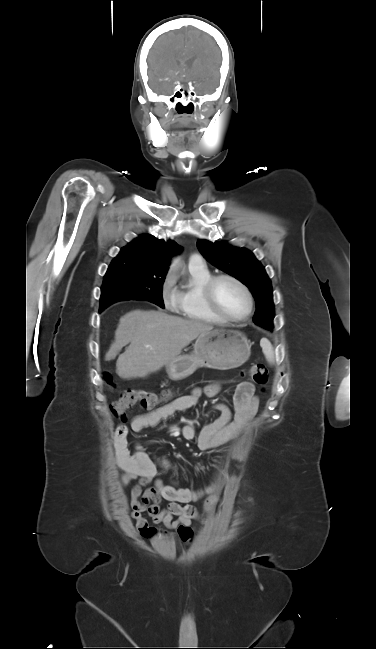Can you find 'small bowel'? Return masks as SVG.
Wrapping results in <instances>:
<instances>
[{
	"instance_id": "1",
	"label": "small bowel",
	"mask_w": 376,
	"mask_h": 649,
	"mask_svg": "<svg viewBox=\"0 0 376 649\" xmlns=\"http://www.w3.org/2000/svg\"><path fill=\"white\" fill-rule=\"evenodd\" d=\"M220 390L217 382L205 388H195L190 395L176 398L168 404L145 414L135 416L129 426L120 425L114 433V450L117 464L121 470L120 482L123 487L136 481L130 491L131 518L136 521V530L144 538H160L169 533L158 530L150 525L143 513H147L153 524H162L167 529L173 530L172 536H178L183 541H189L193 536L192 521L199 519L200 515L190 503L198 501L206 494L214 493L217 484H209L201 489L179 487L176 482L165 483L157 478V464L145 452L142 445H137L134 452L128 448L127 437L130 431L141 432L146 428L155 427L161 422L171 418L176 413L188 410L195 406L200 396L204 393L208 397L215 396ZM259 399L255 394L254 385L242 382L234 395L233 410L224 403H217L214 408L219 411V416L202 428L197 438L200 450L208 451L225 446L237 438L246 424L255 416ZM181 435L192 440L196 437L194 424L182 427ZM218 456L221 461L226 458L230 450L223 449ZM158 465L164 469H171L169 460H159ZM154 485L149 488V484ZM168 502L167 508L161 509L160 502ZM217 502V497L212 496L206 500L205 507L210 510Z\"/></svg>"
}]
</instances>
